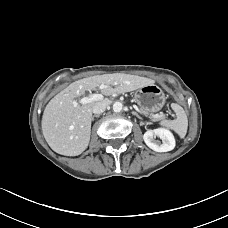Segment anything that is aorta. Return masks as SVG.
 I'll return each mask as SVG.
<instances>
[{"label": "aorta", "mask_w": 228, "mask_h": 228, "mask_svg": "<svg viewBox=\"0 0 228 228\" xmlns=\"http://www.w3.org/2000/svg\"><path fill=\"white\" fill-rule=\"evenodd\" d=\"M122 109H123V104H122L121 102H115V103L113 104V111H114L115 113L121 112Z\"/></svg>", "instance_id": "1"}]
</instances>
